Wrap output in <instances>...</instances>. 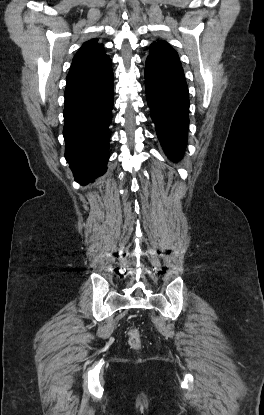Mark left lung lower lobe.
Wrapping results in <instances>:
<instances>
[{
    "mask_svg": "<svg viewBox=\"0 0 264 415\" xmlns=\"http://www.w3.org/2000/svg\"><path fill=\"white\" fill-rule=\"evenodd\" d=\"M145 90L160 143L170 159L179 160L189 124V93L180 63L148 56Z\"/></svg>",
    "mask_w": 264,
    "mask_h": 415,
    "instance_id": "left-lung-lower-lobe-1",
    "label": "left lung lower lobe"
}]
</instances>
